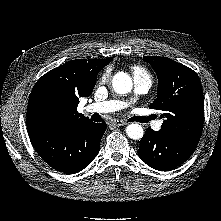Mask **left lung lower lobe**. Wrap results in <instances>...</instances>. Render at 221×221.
<instances>
[{
    "label": "left lung lower lobe",
    "mask_w": 221,
    "mask_h": 221,
    "mask_svg": "<svg viewBox=\"0 0 221 221\" xmlns=\"http://www.w3.org/2000/svg\"><path fill=\"white\" fill-rule=\"evenodd\" d=\"M196 146L148 128L140 141L138 155L150 167L166 171L184 163Z\"/></svg>",
    "instance_id": "obj_1"
}]
</instances>
